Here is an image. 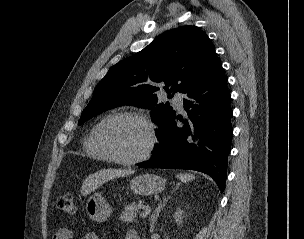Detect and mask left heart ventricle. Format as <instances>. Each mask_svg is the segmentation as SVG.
Segmentation results:
<instances>
[{
	"label": "left heart ventricle",
	"instance_id": "obj_1",
	"mask_svg": "<svg viewBox=\"0 0 304 239\" xmlns=\"http://www.w3.org/2000/svg\"><path fill=\"white\" fill-rule=\"evenodd\" d=\"M104 138L117 155L132 158L146 149L150 134L143 122L125 118L111 123L105 130Z\"/></svg>",
	"mask_w": 304,
	"mask_h": 239
}]
</instances>
